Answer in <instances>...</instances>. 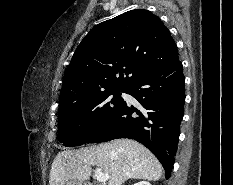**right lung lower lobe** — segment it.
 Returning a JSON list of instances; mask_svg holds the SVG:
<instances>
[{
  "label": "right lung lower lobe",
  "instance_id": "1",
  "mask_svg": "<svg viewBox=\"0 0 233 185\" xmlns=\"http://www.w3.org/2000/svg\"><path fill=\"white\" fill-rule=\"evenodd\" d=\"M139 103L126 102L86 142L133 138L150 149L171 175L184 114L185 77L179 58L137 79L127 89Z\"/></svg>",
  "mask_w": 233,
  "mask_h": 185
}]
</instances>
